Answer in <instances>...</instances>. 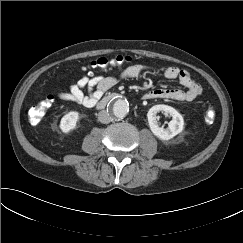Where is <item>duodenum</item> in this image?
Returning a JSON list of instances; mask_svg holds the SVG:
<instances>
[{"instance_id":"1","label":"duodenum","mask_w":243,"mask_h":243,"mask_svg":"<svg viewBox=\"0 0 243 243\" xmlns=\"http://www.w3.org/2000/svg\"><path fill=\"white\" fill-rule=\"evenodd\" d=\"M120 97L119 94L117 93H112V94H109L105 97H103L102 99L98 100L96 102V108L98 109H103L105 108L111 101L115 100V99H118Z\"/></svg>"}]
</instances>
